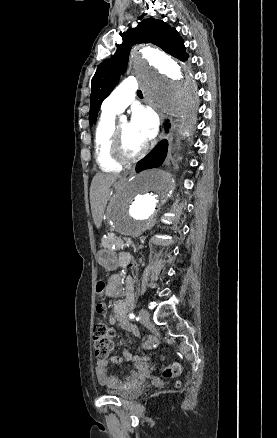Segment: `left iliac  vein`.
Returning a JSON list of instances; mask_svg holds the SVG:
<instances>
[{
    "label": "left iliac vein",
    "mask_w": 277,
    "mask_h": 438,
    "mask_svg": "<svg viewBox=\"0 0 277 438\" xmlns=\"http://www.w3.org/2000/svg\"><path fill=\"white\" fill-rule=\"evenodd\" d=\"M139 316L143 323H148L150 320V314L146 309H141L139 311Z\"/></svg>",
    "instance_id": "left-iliac-vein-1"
}]
</instances>
